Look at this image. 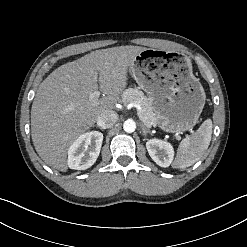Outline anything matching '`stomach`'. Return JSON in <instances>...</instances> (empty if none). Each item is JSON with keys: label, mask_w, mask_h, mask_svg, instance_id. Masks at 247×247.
Wrapping results in <instances>:
<instances>
[{"label": "stomach", "mask_w": 247, "mask_h": 247, "mask_svg": "<svg viewBox=\"0 0 247 247\" xmlns=\"http://www.w3.org/2000/svg\"><path fill=\"white\" fill-rule=\"evenodd\" d=\"M129 70L147 93L161 130L179 133L195 126L206 96L189 58L149 48L135 57Z\"/></svg>", "instance_id": "1"}]
</instances>
